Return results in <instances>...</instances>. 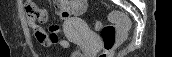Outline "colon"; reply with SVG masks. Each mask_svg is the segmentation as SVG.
Here are the masks:
<instances>
[{
    "label": "colon",
    "mask_w": 172,
    "mask_h": 57,
    "mask_svg": "<svg viewBox=\"0 0 172 57\" xmlns=\"http://www.w3.org/2000/svg\"><path fill=\"white\" fill-rule=\"evenodd\" d=\"M26 12L32 15L41 13L39 9L31 4L26 8ZM109 18L112 21L111 24L102 25L101 22L97 21L94 26L100 32L104 46L99 57H111L114 49L124 40L131 25L128 17L117 11L111 12Z\"/></svg>",
    "instance_id": "obj_1"
}]
</instances>
